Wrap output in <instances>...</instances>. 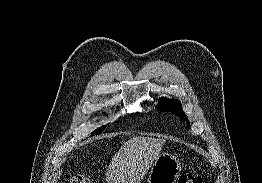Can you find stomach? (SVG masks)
Segmentation results:
<instances>
[{"mask_svg":"<svg viewBox=\"0 0 262 183\" xmlns=\"http://www.w3.org/2000/svg\"><path fill=\"white\" fill-rule=\"evenodd\" d=\"M181 163L175 156L160 154L150 167L147 183H176L180 176Z\"/></svg>","mask_w":262,"mask_h":183,"instance_id":"0dacf381","label":"stomach"}]
</instances>
